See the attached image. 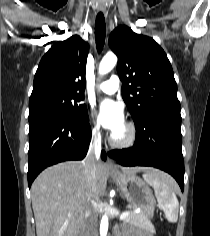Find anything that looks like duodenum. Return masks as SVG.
Returning a JSON list of instances; mask_svg holds the SVG:
<instances>
[{
  "label": "duodenum",
  "mask_w": 210,
  "mask_h": 236,
  "mask_svg": "<svg viewBox=\"0 0 210 236\" xmlns=\"http://www.w3.org/2000/svg\"><path fill=\"white\" fill-rule=\"evenodd\" d=\"M75 236H83L82 229H79Z\"/></svg>",
  "instance_id": "1"
}]
</instances>
